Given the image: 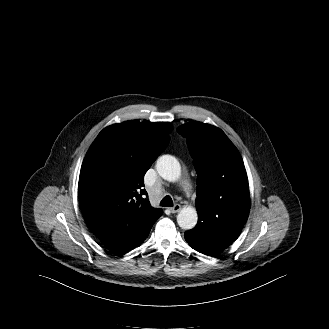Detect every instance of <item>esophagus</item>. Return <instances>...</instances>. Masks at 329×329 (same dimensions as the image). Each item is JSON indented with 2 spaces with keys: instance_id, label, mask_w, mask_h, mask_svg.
I'll return each mask as SVG.
<instances>
[{
  "instance_id": "obj_1",
  "label": "esophagus",
  "mask_w": 329,
  "mask_h": 329,
  "mask_svg": "<svg viewBox=\"0 0 329 329\" xmlns=\"http://www.w3.org/2000/svg\"><path fill=\"white\" fill-rule=\"evenodd\" d=\"M180 209H181V205L175 204L173 207L170 208V212L171 213H177V212L180 211Z\"/></svg>"
}]
</instances>
